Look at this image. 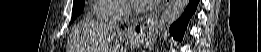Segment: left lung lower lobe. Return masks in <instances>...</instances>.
<instances>
[{
	"label": "left lung lower lobe",
	"instance_id": "obj_1",
	"mask_svg": "<svg viewBox=\"0 0 261 52\" xmlns=\"http://www.w3.org/2000/svg\"><path fill=\"white\" fill-rule=\"evenodd\" d=\"M199 0H189V4L186 7L181 18L171 25L169 32L176 40L181 41L185 33L188 22L194 12L196 11Z\"/></svg>",
	"mask_w": 261,
	"mask_h": 52
}]
</instances>
